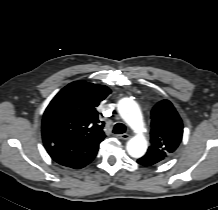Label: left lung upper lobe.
I'll return each mask as SVG.
<instances>
[{
	"mask_svg": "<svg viewBox=\"0 0 218 210\" xmlns=\"http://www.w3.org/2000/svg\"><path fill=\"white\" fill-rule=\"evenodd\" d=\"M151 128V145L142 157L149 166L165 160L182 140V120L170 101L162 100L153 107Z\"/></svg>",
	"mask_w": 218,
	"mask_h": 210,
	"instance_id": "obj_1",
	"label": "left lung upper lobe"
}]
</instances>
